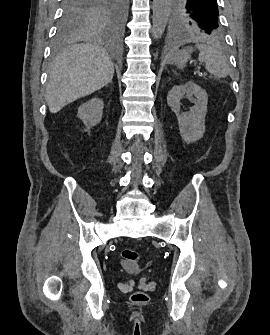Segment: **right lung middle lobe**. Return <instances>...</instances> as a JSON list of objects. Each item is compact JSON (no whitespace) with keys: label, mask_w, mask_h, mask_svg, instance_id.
I'll return each instance as SVG.
<instances>
[{"label":"right lung middle lobe","mask_w":270,"mask_h":335,"mask_svg":"<svg viewBox=\"0 0 270 335\" xmlns=\"http://www.w3.org/2000/svg\"><path fill=\"white\" fill-rule=\"evenodd\" d=\"M58 24L56 44L93 29H120L123 26L127 0H64Z\"/></svg>","instance_id":"obj_1"}]
</instances>
